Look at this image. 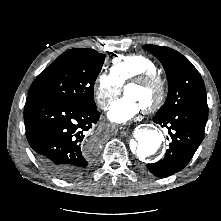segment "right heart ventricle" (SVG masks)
I'll return each instance as SVG.
<instances>
[{"mask_svg": "<svg viewBox=\"0 0 221 221\" xmlns=\"http://www.w3.org/2000/svg\"><path fill=\"white\" fill-rule=\"evenodd\" d=\"M145 72H157V66L151 58L139 53L119 56L113 59L109 66L110 75L121 86Z\"/></svg>", "mask_w": 221, "mask_h": 221, "instance_id": "1", "label": "right heart ventricle"}]
</instances>
